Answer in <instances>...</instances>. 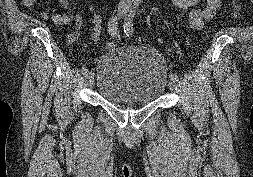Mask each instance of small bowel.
<instances>
[{"label": "small bowel", "instance_id": "1", "mask_svg": "<svg viewBox=\"0 0 253 177\" xmlns=\"http://www.w3.org/2000/svg\"><path fill=\"white\" fill-rule=\"evenodd\" d=\"M22 4L30 8L38 0H21ZM202 0H171L172 4L179 9L178 18L188 15V23L192 29H200L206 20L211 19L221 8L222 0H206L203 6H199ZM60 6L69 11L71 8L69 0H58ZM90 11L94 13L93 17V39L97 40L101 33L102 19L100 15L95 12L94 6L90 5ZM44 19H51L56 25L67 26L74 25L73 33L68 37L69 41H74L78 38L80 30L83 25L81 14L78 11L69 13H59L55 9L46 11L41 14Z\"/></svg>", "mask_w": 253, "mask_h": 177}]
</instances>
